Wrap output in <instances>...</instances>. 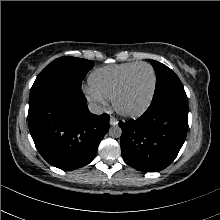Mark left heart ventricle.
I'll list each match as a JSON object with an SVG mask.
<instances>
[{
	"mask_svg": "<svg viewBox=\"0 0 220 220\" xmlns=\"http://www.w3.org/2000/svg\"><path fill=\"white\" fill-rule=\"evenodd\" d=\"M152 88V73L146 66L137 68L131 75L125 91L118 101L122 110L134 111L147 101Z\"/></svg>",
	"mask_w": 220,
	"mask_h": 220,
	"instance_id": "left-heart-ventricle-1",
	"label": "left heart ventricle"
}]
</instances>
